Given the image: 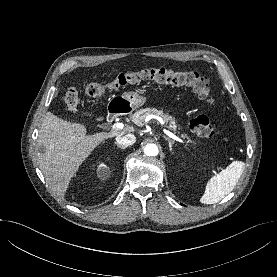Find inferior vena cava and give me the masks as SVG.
Segmentation results:
<instances>
[{"mask_svg":"<svg viewBox=\"0 0 277 277\" xmlns=\"http://www.w3.org/2000/svg\"><path fill=\"white\" fill-rule=\"evenodd\" d=\"M135 141L136 137L133 134H126L116 137V143L126 147L133 145Z\"/></svg>","mask_w":277,"mask_h":277,"instance_id":"602c4592","label":"inferior vena cava"}]
</instances>
